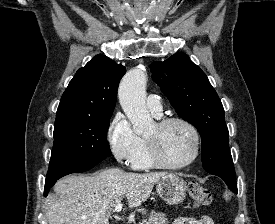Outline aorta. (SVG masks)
Listing matches in <instances>:
<instances>
[{
    "label": "aorta",
    "mask_w": 275,
    "mask_h": 224,
    "mask_svg": "<svg viewBox=\"0 0 275 224\" xmlns=\"http://www.w3.org/2000/svg\"><path fill=\"white\" fill-rule=\"evenodd\" d=\"M146 75L140 68L131 69L123 77L118 96L121 107L136 134H143L153 123L145 103Z\"/></svg>",
    "instance_id": "obj_1"
}]
</instances>
